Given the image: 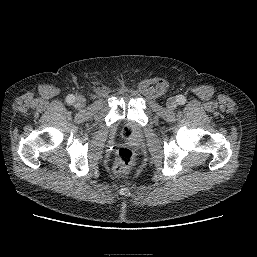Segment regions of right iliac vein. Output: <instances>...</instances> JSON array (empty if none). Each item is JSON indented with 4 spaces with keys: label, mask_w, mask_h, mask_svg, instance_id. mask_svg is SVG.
Wrapping results in <instances>:
<instances>
[{
    "label": "right iliac vein",
    "mask_w": 257,
    "mask_h": 257,
    "mask_svg": "<svg viewBox=\"0 0 257 257\" xmlns=\"http://www.w3.org/2000/svg\"><path fill=\"white\" fill-rule=\"evenodd\" d=\"M86 104V100L83 96L79 95L75 99V107L76 108H83Z\"/></svg>",
    "instance_id": "63e3f726"
}]
</instances>
